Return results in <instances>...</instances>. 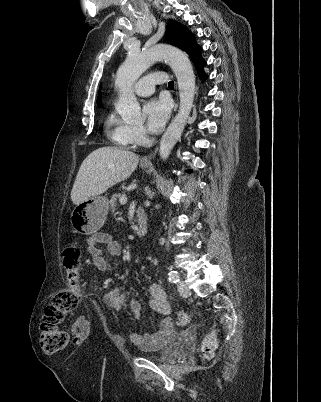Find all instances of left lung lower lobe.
<instances>
[{"label": "left lung lower lobe", "instance_id": "1", "mask_svg": "<svg viewBox=\"0 0 321 402\" xmlns=\"http://www.w3.org/2000/svg\"><path fill=\"white\" fill-rule=\"evenodd\" d=\"M200 52H201V48L197 45L189 55H190L191 59L193 60L199 75L203 79H206L207 77L203 73V66L205 65V61L201 57Z\"/></svg>", "mask_w": 321, "mask_h": 402}]
</instances>
